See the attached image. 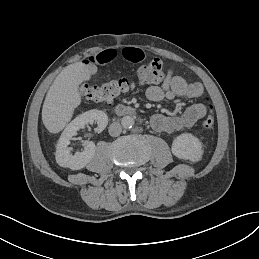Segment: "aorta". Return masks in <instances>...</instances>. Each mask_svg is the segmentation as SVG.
<instances>
[{
  "instance_id": "762f6f07",
  "label": "aorta",
  "mask_w": 259,
  "mask_h": 259,
  "mask_svg": "<svg viewBox=\"0 0 259 259\" xmlns=\"http://www.w3.org/2000/svg\"><path fill=\"white\" fill-rule=\"evenodd\" d=\"M121 124L125 129L132 128L134 125V119L131 116H124L121 119Z\"/></svg>"
}]
</instances>
